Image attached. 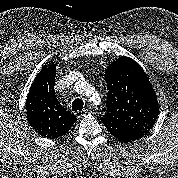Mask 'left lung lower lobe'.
I'll list each match as a JSON object with an SVG mask.
<instances>
[{"label":"left lung lower lobe","mask_w":178,"mask_h":178,"mask_svg":"<svg viewBox=\"0 0 178 178\" xmlns=\"http://www.w3.org/2000/svg\"><path fill=\"white\" fill-rule=\"evenodd\" d=\"M108 132L115 136L119 141L131 142L142 136H144L148 131H144L137 128H132L128 126H121L111 122H103Z\"/></svg>","instance_id":"1"}]
</instances>
